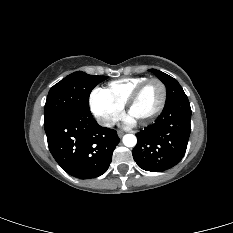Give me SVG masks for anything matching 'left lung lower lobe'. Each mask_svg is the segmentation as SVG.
<instances>
[{
    "label": "left lung lower lobe",
    "mask_w": 233,
    "mask_h": 233,
    "mask_svg": "<svg viewBox=\"0 0 233 233\" xmlns=\"http://www.w3.org/2000/svg\"><path fill=\"white\" fill-rule=\"evenodd\" d=\"M191 107L186 95L165 104L164 111L152 126L137 134L133 158L140 168L162 172L183 158L191 126Z\"/></svg>",
    "instance_id": "0a47b994"
}]
</instances>
